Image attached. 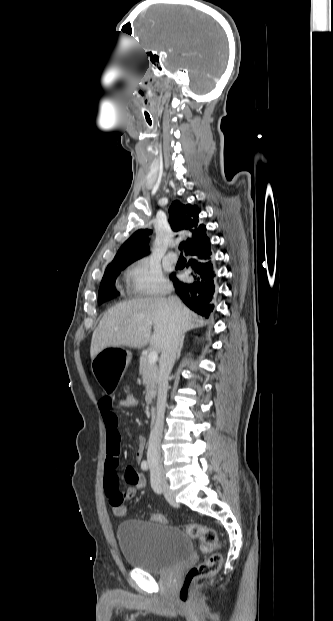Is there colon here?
Masks as SVG:
<instances>
[{
  "label": "colon",
  "mask_w": 333,
  "mask_h": 621,
  "mask_svg": "<svg viewBox=\"0 0 333 621\" xmlns=\"http://www.w3.org/2000/svg\"><path fill=\"white\" fill-rule=\"evenodd\" d=\"M121 406L126 409H134L139 405V399L135 392L128 391L121 398ZM113 512L117 516H122L125 513L124 505H117L113 508ZM150 520L157 523H167L165 516L161 514H153L150 516ZM186 533L194 539L199 540L204 552L208 553V557L200 564L191 567L185 574L183 583L179 590V600L182 603H187L190 599V592L193 583L196 580L208 577L216 573L222 562L221 555L215 551L220 547V541L217 533L214 529L197 524L191 523L186 527Z\"/></svg>",
  "instance_id": "obj_1"
}]
</instances>
